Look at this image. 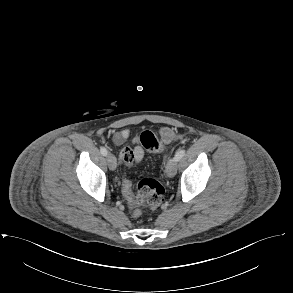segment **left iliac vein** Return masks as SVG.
Wrapping results in <instances>:
<instances>
[{
  "mask_svg": "<svg viewBox=\"0 0 293 293\" xmlns=\"http://www.w3.org/2000/svg\"><path fill=\"white\" fill-rule=\"evenodd\" d=\"M165 172L168 177H174L177 172V160L175 157H172L168 160L166 167H165Z\"/></svg>",
  "mask_w": 293,
  "mask_h": 293,
  "instance_id": "obj_1",
  "label": "left iliac vein"
}]
</instances>
